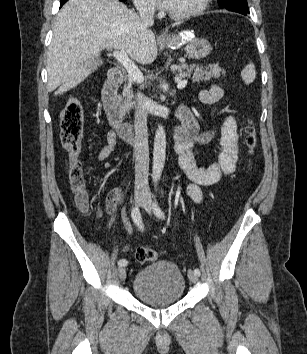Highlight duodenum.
Returning a JSON list of instances; mask_svg holds the SVG:
<instances>
[{"label":"duodenum","mask_w":307,"mask_h":354,"mask_svg":"<svg viewBox=\"0 0 307 354\" xmlns=\"http://www.w3.org/2000/svg\"><path fill=\"white\" fill-rule=\"evenodd\" d=\"M124 80V74L119 69H112L107 76L102 89V103L110 126L118 137L127 144L134 139L133 126L124 122V110L118 95V88Z\"/></svg>","instance_id":"obj_1"}]
</instances>
